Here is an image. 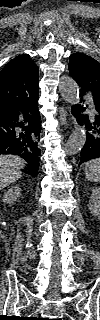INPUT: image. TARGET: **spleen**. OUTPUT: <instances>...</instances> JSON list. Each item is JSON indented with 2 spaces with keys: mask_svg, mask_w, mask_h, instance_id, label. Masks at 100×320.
<instances>
[{
  "mask_svg": "<svg viewBox=\"0 0 100 320\" xmlns=\"http://www.w3.org/2000/svg\"><path fill=\"white\" fill-rule=\"evenodd\" d=\"M85 177L92 182L100 181V159H93L85 164Z\"/></svg>",
  "mask_w": 100,
  "mask_h": 320,
  "instance_id": "1",
  "label": "spleen"
}]
</instances>
